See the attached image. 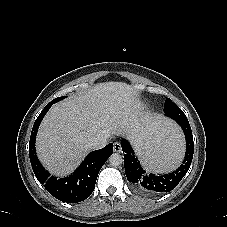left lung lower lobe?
I'll use <instances>...</instances> for the list:
<instances>
[{"label": "left lung lower lobe", "mask_w": 227, "mask_h": 227, "mask_svg": "<svg viewBox=\"0 0 227 227\" xmlns=\"http://www.w3.org/2000/svg\"><path fill=\"white\" fill-rule=\"evenodd\" d=\"M165 116L175 120L183 129L186 137V154L182 165L169 174H152L146 172L134 155L129 142L121 141L124 154L125 173L133 188L147 196H158L173 190L186 175L194 153L193 135L189 121L184 112L169 98L164 106Z\"/></svg>", "instance_id": "0a47b994"}]
</instances>
